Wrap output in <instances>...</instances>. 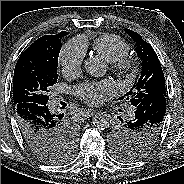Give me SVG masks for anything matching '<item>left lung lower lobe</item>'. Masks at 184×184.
I'll return each mask as SVG.
<instances>
[{
    "instance_id": "left-lung-lower-lobe-1",
    "label": "left lung lower lobe",
    "mask_w": 184,
    "mask_h": 184,
    "mask_svg": "<svg viewBox=\"0 0 184 184\" xmlns=\"http://www.w3.org/2000/svg\"><path fill=\"white\" fill-rule=\"evenodd\" d=\"M165 113L166 95L156 94L136 106L135 116L129 121V124L137 128L141 126H161L164 121ZM158 129V133L153 137V140L160 137L162 128ZM145 142L146 141L137 143V147H143Z\"/></svg>"
}]
</instances>
